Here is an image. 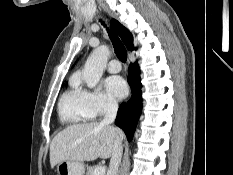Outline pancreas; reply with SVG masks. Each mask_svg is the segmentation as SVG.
I'll return each instance as SVG.
<instances>
[{
    "label": "pancreas",
    "mask_w": 233,
    "mask_h": 175,
    "mask_svg": "<svg viewBox=\"0 0 233 175\" xmlns=\"http://www.w3.org/2000/svg\"><path fill=\"white\" fill-rule=\"evenodd\" d=\"M97 168V166H89L88 168H87V173H86V175H93V173H94V170Z\"/></svg>",
    "instance_id": "1"
}]
</instances>
